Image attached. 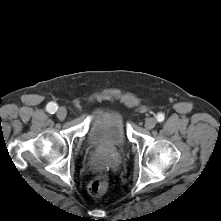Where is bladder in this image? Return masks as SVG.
I'll list each match as a JSON object with an SVG mask.
<instances>
[{
	"instance_id": "obj_1",
	"label": "bladder",
	"mask_w": 221,
	"mask_h": 221,
	"mask_svg": "<svg viewBox=\"0 0 221 221\" xmlns=\"http://www.w3.org/2000/svg\"><path fill=\"white\" fill-rule=\"evenodd\" d=\"M88 142L100 150L114 151L127 143V133L122 114L112 107L99 108L92 117Z\"/></svg>"
}]
</instances>
